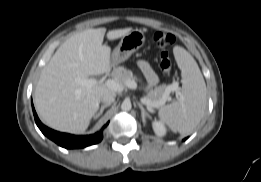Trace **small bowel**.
Instances as JSON below:
<instances>
[{
  "label": "small bowel",
  "instance_id": "obj_1",
  "mask_svg": "<svg viewBox=\"0 0 261 182\" xmlns=\"http://www.w3.org/2000/svg\"><path fill=\"white\" fill-rule=\"evenodd\" d=\"M138 66L145 79L147 80L149 87L155 86L158 82V78L154 70L151 68L150 64L145 60H140L138 62Z\"/></svg>",
  "mask_w": 261,
  "mask_h": 182
}]
</instances>
